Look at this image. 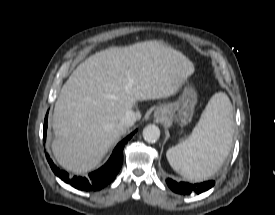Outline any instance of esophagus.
Instances as JSON below:
<instances>
[{
	"label": "esophagus",
	"mask_w": 275,
	"mask_h": 215,
	"mask_svg": "<svg viewBox=\"0 0 275 215\" xmlns=\"http://www.w3.org/2000/svg\"><path fill=\"white\" fill-rule=\"evenodd\" d=\"M154 117L157 122H163L166 119V113L162 109H157L155 111Z\"/></svg>",
	"instance_id": "34e87169"
}]
</instances>
